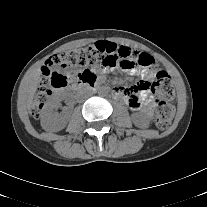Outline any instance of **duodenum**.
Here are the masks:
<instances>
[{
  "label": "duodenum",
  "instance_id": "1",
  "mask_svg": "<svg viewBox=\"0 0 207 207\" xmlns=\"http://www.w3.org/2000/svg\"><path fill=\"white\" fill-rule=\"evenodd\" d=\"M73 84V89L74 90H82L85 88H89L91 90H95L97 88V84L95 83V79L94 78H83L77 82H73L71 83Z\"/></svg>",
  "mask_w": 207,
  "mask_h": 207
}]
</instances>
